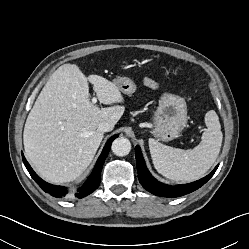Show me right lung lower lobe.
<instances>
[{
	"instance_id": "1",
	"label": "right lung lower lobe",
	"mask_w": 249,
	"mask_h": 249,
	"mask_svg": "<svg viewBox=\"0 0 249 249\" xmlns=\"http://www.w3.org/2000/svg\"><path fill=\"white\" fill-rule=\"evenodd\" d=\"M117 138V135L112 136L108 142L106 143L105 147L103 148V151L101 155L99 156L96 165L93 169L92 174L88 177L86 182L83 184L82 187H80L77 190V193L75 194L78 198H83L90 193H92L94 190H96L100 184L101 180V170L102 166L104 164V161L109 153L111 143L112 141ZM22 159L24 162L25 167L27 168L28 172L30 173L31 177L35 180V182L47 193L54 197H64L67 194V189L65 187L61 186H55L52 184H49L42 180L40 177L37 176V174L33 171L29 163L26 161L25 157L22 154Z\"/></svg>"
}]
</instances>
